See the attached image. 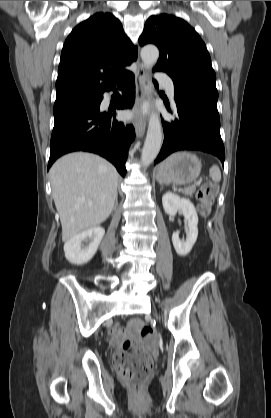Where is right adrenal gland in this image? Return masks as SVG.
<instances>
[{
	"label": "right adrenal gland",
	"mask_w": 271,
	"mask_h": 418,
	"mask_svg": "<svg viewBox=\"0 0 271 418\" xmlns=\"http://www.w3.org/2000/svg\"><path fill=\"white\" fill-rule=\"evenodd\" d=\"M117 204H118V201H117V198H116V202H115V208H116Z\"/></svg>",
	"instance_id": "1"
}]
</instances>
